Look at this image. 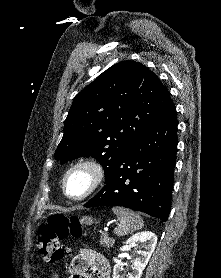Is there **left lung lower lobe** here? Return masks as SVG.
Listing matches in <instances>:
<instances>
[{
    "label": "left lung lower lobe",
    "instance_id": "obj_1",
    "mask_svg": "<svg viewBox=\"0 0 221 278\" xmlns=\"http://www.w3.org/2000/svg\"><path fill=\"white\" fill-rule=\"evenodd\" d=\"M173 104L120 154L105 186L85 207L123 206L167 220L171 207L177 150Z\"/></svg>",
    "mask_w": 221,
    "mask_h": 278
}]
</instances>
